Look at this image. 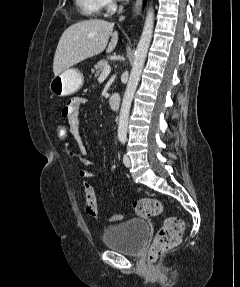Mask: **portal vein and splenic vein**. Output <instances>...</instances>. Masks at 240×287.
Instances as JSON below:
<instances>
[{"mask_svg": "<svg viewBox=\"0 0 240 287\" xmlns=\"http://www.w3.org/2000/svg\"><path fill=\"white\" fill-rule=\"evenodd\" d=\"M110 71H111L110 65H106L100 76L101 77L107 76V75H109Z\"/></svg>", "mask_w": 240, "mask_h": 287, "instance_id": "18ae733b", "label": "portal vein and splenic vein"}]
</instances>
